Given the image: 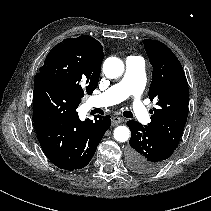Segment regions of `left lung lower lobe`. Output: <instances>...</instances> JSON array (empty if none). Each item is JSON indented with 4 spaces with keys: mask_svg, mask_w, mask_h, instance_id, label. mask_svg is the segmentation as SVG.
Masks as SVG:
<instances>
[{
    "mask_svg": "<svg viewBox=\"0 0 211 211\" xmlns=\"http://www.w3.org/2000/svg\"><path fill=\"white\" fill-rule=\"evenodd\" d=\"M127 125L131 130L127 152L130 169L140 174L160 170L176 148L139 122L130 120Z\"/></svg>",
    "mask_w": 211,
    "mask_h": 211,
    "instance_id": "obj_1",
    "label": "left lung lower lobe"
}]
</instances>
